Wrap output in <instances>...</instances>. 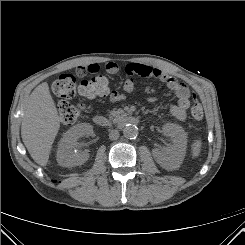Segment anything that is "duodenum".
<instances>
[{
  "label": "duodenum",
  "mask_w": 245,
  "mask_h": 245,
  "mask_svg": "<svg viewBox=\"0 0 245 245\" xmlns=\"http://www.w3.org/2000/svg\"><path fill=\"white\" fill-rule=\"evenodd\" d=\"M95 124L101 127H109L112 122L103 115H96L93 118ZM116 124H138L139 119L128 114H120L116 119Z\"/></svg>",
  "instance_id": "duodenum-1"
}]
</instances>
